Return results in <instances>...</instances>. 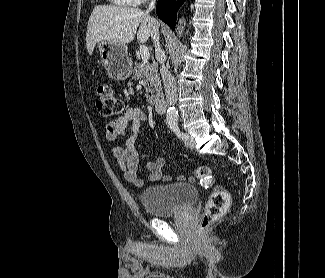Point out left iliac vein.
<instances>
[{
	"label": "left iliac vein",
	"instance_id": "obj_1",
	"mask_svg": "<svg viewBox=\"0 0 325 278\" xmlns=\"http://www.w3.org/2000/svg\"><path fill=\"white\" fill-rule=\"evenodd\" d=\"M194 145H195V142H194L193 137L188 136V139L185 141V146L189 149H192V148H194Z\"/></svg>",
	"mask_w": 325,
	"mask_h": 278
}]
</instances>
